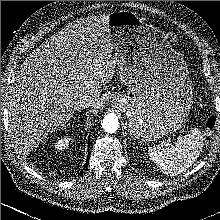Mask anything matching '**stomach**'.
Instances as JSON below:
<instances>
[{"instance_id":"obj_1","label":"stomach","mask_w":220,"mask_h":220,"mask_svg":"<svg viewBox=\"0 0 220 220\" xmlns=\"http://www.w3.org/2000/svg\"><path fill=\"white\" fill-rule=\"evenodd\" d=\"M107 26L120 79L128 87L114 101L126 114L131 135L151 142L179 129L193 92L188 67L168 35L130 11L110 13Z\"/></svg>"}]
</instances>
